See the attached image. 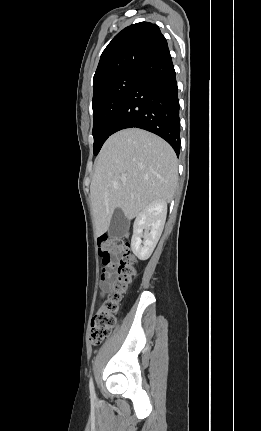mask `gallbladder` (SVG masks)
Returning <instances> with one entry per match:
<instances>
[{
	"label": "gallbladder",
	"instance_id": "gallbladder-1",
	"mask_svg": "<svg viewBox=\"0 0 261 431\" xmlns=\"http://www.w3.org/2000/svg\"><path fill=\"white\" fill-rule=\"evenodd\" d=\"M129 228V221L121 209H116L112 215L108 234L110 237L117 238L124 236Z\"/></svg>",
	"mask_w": 261,
	"mask_h": 431
}]
</instances>
